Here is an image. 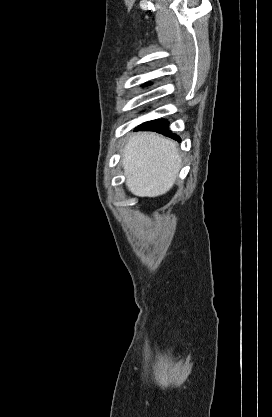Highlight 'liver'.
<instances>
[{
  "mask_svg": "<svg viewBox=\"0 0 272 417\" xmlns=\"http://www.w3.org/2000/svg\"><path fill=\"white\" fill-rule=\"evenodd\" d=\"M131 191L139 196L167 193L181 168L177 144L155 133L139 132L129 137L121 160Z\"/></svg>",
  "mask_w": 272,
  "mask_h": 417,
  "instance_id": "1",
  "label": "liver"
}]
</instances>
